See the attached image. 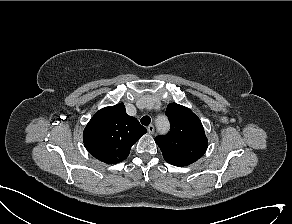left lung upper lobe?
Masks as SVG:
<instances>
[{
	"instance_id": "obj_1",
	"label": "left lung upper lobe",
	"mask_w": 292,
	"mask_h": 224,
	"mask_svg": "<svg viewBox=\"0 0 292 224\" xmlns=\"http://www.w3.org/2000/svg\"><path fill=\"white\" fill-rule=\"evenodd\" d=\"M166 115L170 120V131L155 138L165 161L179 167L194 163L207 149L200 119L190 109L176 103L167 106Z\"/></svg>"
}]
</instances>
